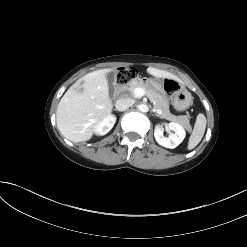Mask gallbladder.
<instances>
[{"mask_svg": "<svg viewBox=\"0 0 247 247\" xmlns=\"http://www.w3.org/2000/svg\"><path fill=\"white\" fill-rule=\"evenodd\" d=\"M105 76L108 82L109 90L112 93L114 91V86L116 83V74L114 71H110L107 72Z\"/></svg>", "mask_w": 247, "mask_h": 247, "instance_id": "1", "label": "gallbladder"}]
</instances>
